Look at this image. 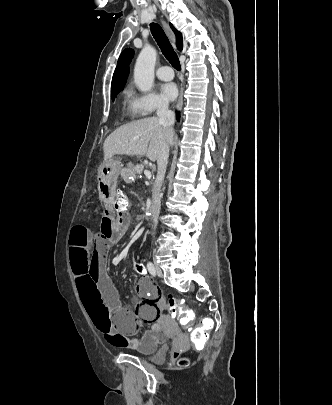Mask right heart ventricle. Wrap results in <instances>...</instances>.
<instances>
[{
	"label": "right heart ventricle",
	"mask_w": 332,
	"mask_h": 405,
	"mask_svg": "<svg viewBox=\"0 0 332 405\" xmlns=\"http://www.w3.org/2000/svg\"><path fill=\"white\" fill-rule=\"evenodd\" d=\"M132 98H133V96H132L130 90L126 91L125 98H124L125 113L130 118H134L135 116H137V114L135 113V111L133 109Z\"/></svg>",
	"instance_id": "obj_1"
}]
</instances>
